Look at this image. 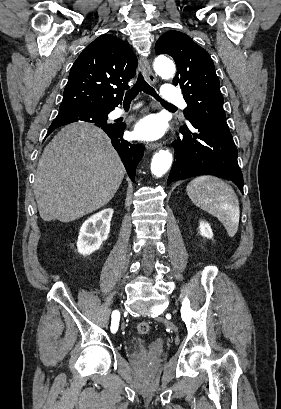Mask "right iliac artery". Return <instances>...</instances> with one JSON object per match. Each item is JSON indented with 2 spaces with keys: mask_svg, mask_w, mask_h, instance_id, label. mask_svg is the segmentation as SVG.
Returning a JSON list of instances; mask_svg holds the SVG:
<instances>
[{
  "mask_svg": "<svg viewBox=\"0 0 281 409\" xmlns=\"http://www.w3.org/2000/svg\"><path fill=\"white\" fill-rule=\"evenodd\" d=\"M120 314L118 311H113L112 322H111V332L115 333L118 329Z\"/></svg>",
  "mask_w": 281,
  "mask_h": 409,
  "instance_id": "82829eb1",
  "label": "right iliac artery"
}]
</instances>
